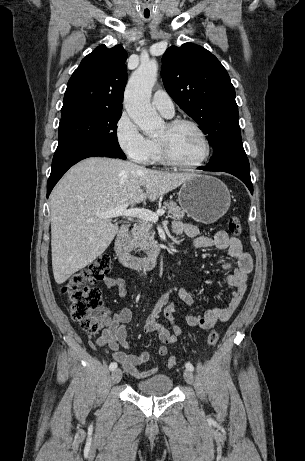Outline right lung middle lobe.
Segmentation results:
<instances>
[{"label":"right lung middle lobe","mask_w":305,"mask_h":461,"mask_svg":"<svg viewBox=\"0 0 305 461\" xmlns=\"http://www.w3.org/2000/svg\"><path fill=\"white\" fill-rule=\"evenodd\" d=\"M121 114V110L93 105L62 108L56 151L94 145L109 149L125 159L126 156L118 144L116 130Z\"/></svg>","instance_id":"dd1d6c3e"}]
</instances>
